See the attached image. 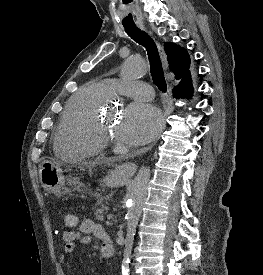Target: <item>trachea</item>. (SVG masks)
<instances>
[{"label":"trachea","mask_w":263,"mask_h":275,"mask_svg":"<svg viewBox=\"0 0 263 275\" xmlns=\"http://www.w3.org/2000/svg\"><path fill=\"white\" fill-rule=\"evenodd\" d=\"M125 31L134 41L146 48L150 62L151 76L154 84L159 88V90H161L162 92H166L167 84L164 77L159 52L155 42L145 31L140 30L136 26L125 27Z\"/></svg>","instance_id":"obj_1"}]
</instances>
